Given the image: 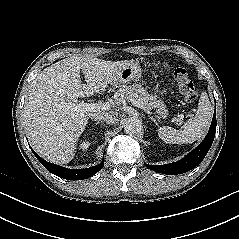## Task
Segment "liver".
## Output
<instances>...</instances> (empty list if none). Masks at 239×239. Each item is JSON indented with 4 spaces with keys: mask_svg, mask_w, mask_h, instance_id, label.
Segmentation results:
<instances>
[{
    "mask_svg": "<svg viewBox=\"0 0 239 239\" xmlns=\"http://www.w3.org/2000/svg\"><path fill=\"white\" fill-rule=\"evenodd\" d=\"M126 62L70 56L38 74L29 88L23 117L30 144L41 157L61 164L74 158L88 119L105 114L75 110L78 98L104 92Z\"/></svg>",
    "mask_w": 239,
    "mask_h": 239,
    "instance_id": "1",
    "label": "liver"
}]
</instances>
